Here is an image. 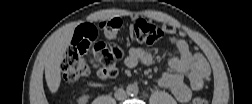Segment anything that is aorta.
<instances>
[{
	"label": "aorta",
	"instance_id": "aorta-1",
	"mask_svg": "<svg viewBox=\"0 0 252 104\" xmlns=\"http://www.w3.org/2000/svg\"><path fill=\"white\" fill-rule=\"evenodd\" d=\"M126 92L129 96H136L139 93V87L136 84H129L126 87Z\"/></svg>",
	"mask_w": 252,
	"mask_h": 104
}]
</instances>
